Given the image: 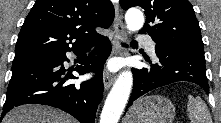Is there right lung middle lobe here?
I'll return each mask as SVG.
<instances>
[{
	"label": "right lung middle lobe",
	"mask_w": 221,
	"mask_h": 123,
	"mask_svg": "<svg viewBox=\"0 0 221 123\" xmlns=\"http://www.w3.org/2000/svg\"><path fill=\"white\" fill-rule=\"evenodd\" d=\"M60 54H35V55H20V56H15L14 60H13V65L21 63V62H25V61H29V60H33V59H41L43 57H49V58H54L59 56Z\"/></svg>",
	"instance_id": "right-lung-middle-lobe-1"
}]
</instances>
